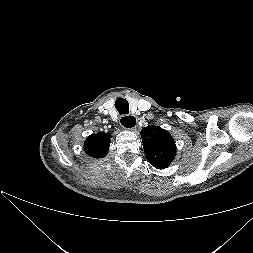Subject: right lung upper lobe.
<instances>
[{
    "mask_svg": "<svg viewBox=\"0 0 253 253\" xmlns=\"http://www.w3.org/2000/svg\"><path fill=\"white\" fill-rule=\"evenodd\" d=\"M110 145V135L98 133L90 135L85 143V152L93 158H103L106 156Z\"/></svg>",
    "mask_w": 253,
    "mask_h": 253,
    "instance_id": "obj_1",
    "label": "right lung upper lobe"
}]
</instances>
